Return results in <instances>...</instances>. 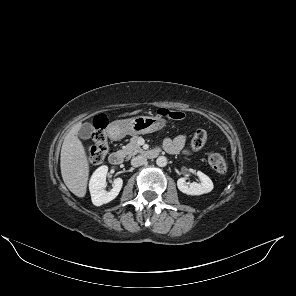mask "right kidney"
Instances as JSON below:
<instances>
[{
  "label": "right kidney",
  "instance_id": "obj_1",
  "mask_svg": "<svg viewBox=\"0 0 296 296\" xmlns=\"http://www.w3.org/2000/svg\"><path fill=\"white\" fill-rule=\"evenodd\" d=\"M107 172L108 167L103 165L96 169L91 176L89 190L92 203L95 206H101L103 204L109 203L118 196L122 188L123 180L121 178H116L113 182V188L109 192L104 190Z\"/></svg>",
  "mask_w": 296,
  "mask_h": 296
}]
</instances>
